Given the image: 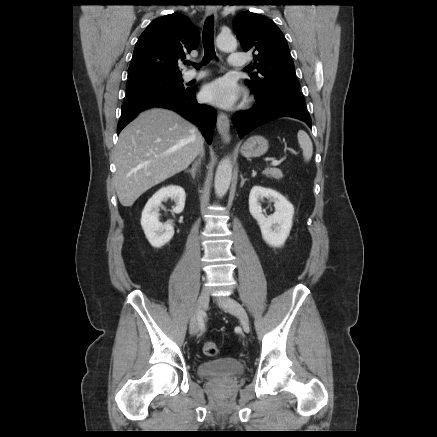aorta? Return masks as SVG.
Wrapping results in <instances>:
<instances>
[{"label": "aorta", "instance_id": "aorta-1", "mask_svg": "<svg viewBox=\"0 0 437 437\" xmlns=\"http://www.w3.org/2000/svg\"><path fill=\"white\" fill-rule=\"evenodd\" d=\"M217 47L223 51H232L237 47L236 38L231 33H220L216 38ZM232 179V164L230 158L222 159L215 174L214 187L217 196L222 197L229 189Z\"/></svg>", "mask_w": 437, "mask_h": 437}]
</instances>
